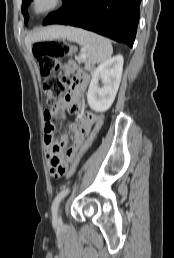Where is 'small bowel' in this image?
<instances>
[{
	"instance_id": "obj_1",
	"label": "small bowel",
	"mask_w": 174,
	"mask_h": 258,
	"mask_svg": "<svg viewBox=\"0 0 174 258\" xmlns=\"http://www.w3.org/2000/svg\"><path fill=\"white\" fill-rule=\"evenodd\" d=\"M64 70L67 75H72L74 77L76 84L71 96L58 101L57 109L75 113L80 110L82 94L90 81V75L82 70L74 61L67 62ZM51 113V110L45 112L46 157L50 164V171L52 168V173H50L52 183H61V178H64V175H68V162L72 161V156H75L76 151L80 148L84 134H90V130H92L94 125L93 123H95V118H81V115L79 119L81 127L80 131L77 130L75 124L70 126V129L74 132V139L64 150V147L68 143V139L66 136H62L59 139L54 138L53 132L55 127L51 120ZM83 117H95V112H83ZM57 147L63 148L62 150H59Z\"/></svg>"
}]
</instances>
